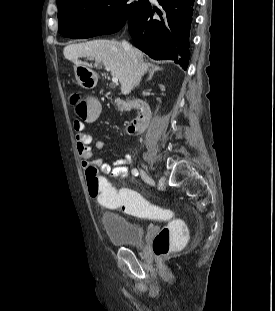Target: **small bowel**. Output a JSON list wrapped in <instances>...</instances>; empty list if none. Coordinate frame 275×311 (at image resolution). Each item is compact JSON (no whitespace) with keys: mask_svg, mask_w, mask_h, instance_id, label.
Returning <instances> with one entry per match:
<instances>
[{"mask_svg":"<svg viewBox=\"0 0 275 311\" xmlns=\"http://www.w3.org/2000/svg\"><path fill=\"white\" fill-rule=\"evenodd\" d=\"M74 128L76 130V150L84 170L87 171L90 167H95L100 173L111 177L126 178L128 176L129 171L127 165L132 161L130 155H124L112 164L101 158L94 159V153L91 147V144L93 143L92 135L84 130L82 121L76 120ZM94 147L98 151H104L106 149V143L103 140H96Z\"/></svg>","mask_w":275,"mask_h":311,"instance_id":"obj_1","label":"small bowel"}]
</instances>
